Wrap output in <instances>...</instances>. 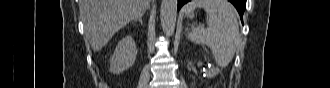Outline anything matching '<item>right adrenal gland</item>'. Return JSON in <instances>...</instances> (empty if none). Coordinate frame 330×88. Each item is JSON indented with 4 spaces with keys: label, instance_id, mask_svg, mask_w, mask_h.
<instances>
[{
    "label": "right adrenal gland",
    "instance_id": "2a0ac1e0",
    "mask_svg": "<svg viewBox=\"0 0 330 88\" xmlns=\"http://www.w3.org/2000/svg\"><path fill=\"white\" fill-rule=\"evenodd\" d=\"M134 21H139L141 25H143L142 16L138 17L137 19H134Z\"/></svg>",
    "mask_w": 330,
    "mask_h": 88
}]
</instances>
